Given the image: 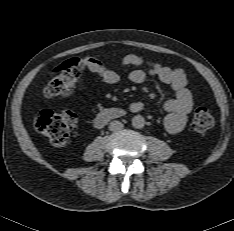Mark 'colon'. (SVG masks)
Returning <instances> with one entry per match:
<instances>
[{
  "label": "colon",
  "mask_w": 234,
  "mask_h": 231,
  "mask_svg": "<svg viewBox=\"0 0 234 231\" xmlns=\"http://www.w3.org/2000/svg\"><path fill=\"white\" fill-rule=\"evenodd\" d=\"M87 65L86 60H69L61 65L57 74L44 90L48 97L62 98L71 94L79 83ZM214 119L205 107L195 110L192 126L198 133H205L213 127ZM76 125V115L71 111L55 112L43 110L35 118L36 130L46 136L54 147H63L69 141L70 132Z\"/></svg>",
  "instance_id": "5ec220e1"
}]
</instances>
